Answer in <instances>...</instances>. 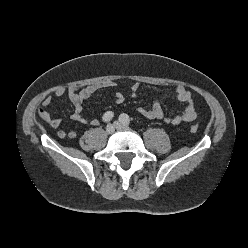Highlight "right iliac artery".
<instances>
[{
    "label": "right iliac artery",
    "mask_w": 248,
    "mask_h": 248,
    "mask_svg": "<svg viewBox=\"0 0 248 248\" xmlns=\"http://www.w3.org/2000/svg\"><path fill=\"white\" fill-rule=\"evenodd\" d=\"M113 117L114 113L112 111H107L102 118L104 122H109L110 120H112Z\"/></svg>",
    "instance_id": "right-iliac-artery-1"
}]
</instances>
